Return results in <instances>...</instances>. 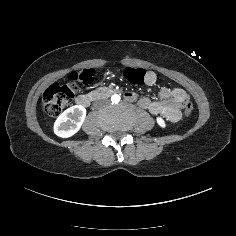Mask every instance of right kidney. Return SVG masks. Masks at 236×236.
I'll use <instances>...</instances> for the list:
<instances>
[{
	"mask_svg": "<svg viewBox=\"0 0 236 236\" xmlns=\"http://www.w3.org/2000/svg\"><path fill=\"white\" fill-rule=\"evenodd\" d=\"M86 117V109L81 105H74L66 109L54 123V133L67 138L79 131Z\"/></svg>",
	"mask_w": 236,
	"mask_h": 236,
	"instance_id": "ca27d5eb",
	"label": "right kidney"
}]
</instances>
